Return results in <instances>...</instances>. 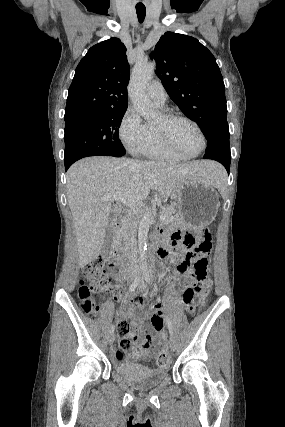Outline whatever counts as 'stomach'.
<instances>
[{
  "mask_svg": "<svg viewBox=\"0 0 285 427\" xmlns=\"http://www.w3.org/2000/svg\"><path fill=\"white\" fill-rule=\"evenodd\" d=\"M178 216L190 228L210 224L220 205L214 186L201 180H185L175 189Z\"/></svg>",
  "mask_w": 285,
  "mask_h": 427,
  "instance_id": "stomach-1",
  "label": "stomach"
}]
</instances>
